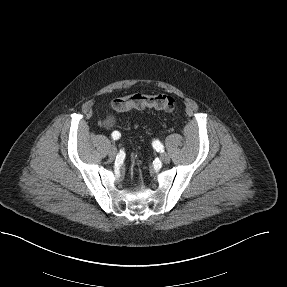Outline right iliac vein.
Here are the masks:
<instances>
[{
	"label": "right iliac vein",
	"instance_id": "right-iliac-vein-1",
	"mask_svg": "<svg viewBox=\"0 0 287 287\" xmlns=\"http://www.w3.org/2000/svg\"><path fill=\"white\" fill-rule=\"evenodd\" d=\"M117 154V149L114 146H111L108 152V155L111 159H114L116 157Z\"/></svg>",
	"mask_w": 287,
	"mask_h": 287
}]
</instances>
